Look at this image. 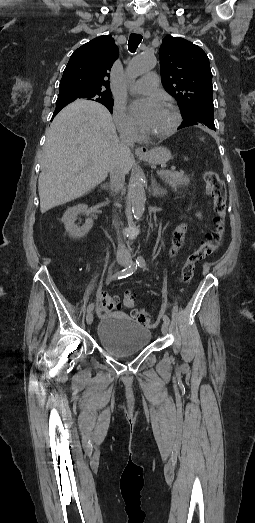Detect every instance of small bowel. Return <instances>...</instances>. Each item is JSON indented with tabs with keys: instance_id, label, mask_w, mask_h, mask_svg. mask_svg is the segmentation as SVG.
<instances>
[{
	"instance_id": "1",
	"label": "small bowel",
	"mask_w": 255,
	"mask_h": 523,
	"mask_svg": "<svg viewBox=\"0 0 255 523\" xmlns=\"http://www.w3.org/2000/svg\"><path fill=\"white\" fill-rule=\"evenodd\" d=\"M197 217H198V219H202L200 213L197 214ZM186 229H187V226L185 224H180L179 226H177L175 228V230L173 232V236H172V247L169 252L170 256L173 257L177 253V251L181 248V246L184 242Z\"/></svg>"
}]
</instances>
